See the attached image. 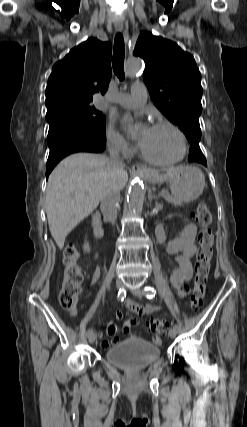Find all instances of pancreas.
Masks as SVG:
<instances>
[{
    "mask_svg": "<svg viewBox=\"0 0 247 427\" xmlns=\"http://www.w3.org/2000/svg\"><path fill=\"white\" fill-rule=\"evenodd\" d=\"M160 196L163 197L167 202H169V203H171V204H173L175 206H179V205L182 204V202L180 200H178L175 196L169 194L166 191H163L160 194Z\"/></svg>",
    "mask_w": 247,
    "mask_h": 427,
    "instance_id": "1",
    "label": "pancreas"
}]
</instances>
